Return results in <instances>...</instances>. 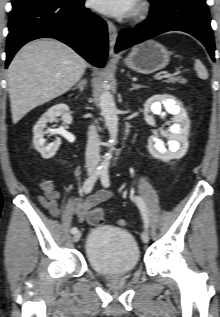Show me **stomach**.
Wrapping results in <instances>:
<instances>
[{"label":"stomach","instance_id":"obj_1","mask_svg":"<svg viewBox=\"0 0 220 317\" xmlns=\"http://www.w3.org/2000/svg\"><path fill=\"white\" fill-rule=\"evenodd\" d=\"M170 52L162 44L147 40L134 46L125 59V65L137 73L151 74L165 68Z\"/></svg>","mask_w":220,"mask_h":317}]
</instances>
